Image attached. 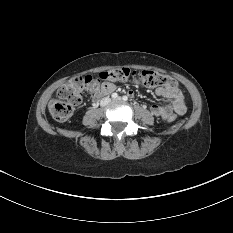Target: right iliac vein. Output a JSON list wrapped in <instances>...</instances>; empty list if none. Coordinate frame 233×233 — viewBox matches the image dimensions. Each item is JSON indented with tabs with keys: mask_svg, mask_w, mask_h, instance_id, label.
Returning a JSON list of instances; mask_svg holds the SVG:
<instances>
[{
	"mask_svg": "<svg viewBox=\"0 0 233 233\" xmlns=\"http://www.w3.org/2000/svg\"><path fill=\"white\" fill-rule=\"evenodd\" d=\"M105 102H106V103H108V102H109V100L107 99Z\"/></svg>",
	"mask_w": 233,
	"mask_h": 233,
	"instance_id": "63e3f726",
	"label": "right iliac vein"
}]
</instances>
